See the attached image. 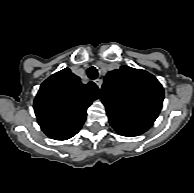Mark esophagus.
Wrapping results in <instances>:
<instances>
[{
	"mask_svg": "<svg viewBox=\"0 0 194 193\" xmlns=\"http://www.w3.org/2000/svg\"><path fill=\"white\" fill-rule=\"evenodd\" d=\"M95 83H96V85L98 86V88L101 89L102 83H103L102 79H99V78L96 79V80H95Z\"/></svg>",
	"mask_w": 194,
	"mask_h": 193,
	"instance_id": "1",
	"label": "esophagus"
}]
</instances>
